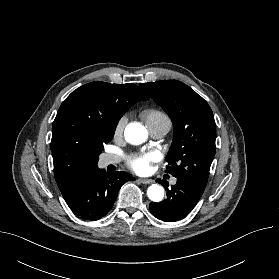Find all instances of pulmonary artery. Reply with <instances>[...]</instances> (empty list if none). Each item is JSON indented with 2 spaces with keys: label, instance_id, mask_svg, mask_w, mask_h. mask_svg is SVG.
Returning <instances> with one entry per match:
<instances>
[{
  "label": "pulmonary artery",
  "instance_id": "1",
  "mask_svg": "<svg viewBox=\"0 0 279 279\" xmlns=\"http://www.w3.org/2000/svg\"><path fill=\"white\" fill-rule=\"evenodd\" d=\"M171 124L170 122H165L162 124H159L157 126H154L152 128L149 129L150 134L154 137V138H162L164 137L170 130ZM119 161L117 156L114 155H104L101 158V165L102 166H108L111 164H115ZM177 182L176 178L171 179V183L175 184Z\"/></svg>",
  "mask_w": 279,
  "mask_h": 279
}]
</instances>
